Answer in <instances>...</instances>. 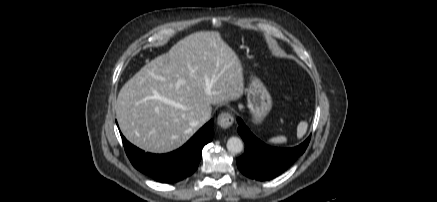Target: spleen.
Listing matches in <instances>:
<instances>
[{
  "label": "spleen",
  "instance_id": "spleen-1",
  "mask_svg": "<svg viewBox=\"0 0 437 202\" xmlns=\"http://www.w3.org/2000/svg\"><path fill=\"white\" fill-rule=\"evenodd\" d=\"M307 128H308L307 122L301 121L297 126V137L298 138L303 137L307 131ZM286 142H287V138L285 136H277L268 140V143H272V144H282Z\"/></svg>",
  "mask_w": 437,
  "mask_h": 202
}]
</instances>
